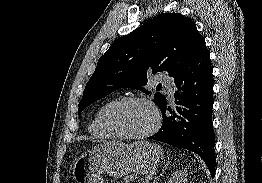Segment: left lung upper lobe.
<instances>
[{"mask_svg": "<svg viewBox=\"0 0 262 183\" xmlns=\"http://www.w3.org/2000/svg\"><path fill=\"white\" fill-rule=\"evenodd\" d=\"M204 47V37L191 19L180 13L160 14L114 41L99 58L79 102L78 114L120 88L149 94L143 86L147 84L146 75L151 69L152 73L166 71L173 78ZM165 57L168 59L160 64ZM157 90L160 89L157 87ZM153 101L160 108L166 97L156 93Z\"/></svg>", "mask_w": 262, "mask_h": 183, "instance_id": "left-lung-upper-lobe-1", "label": "left lung upper lobe"}]
</instances>
